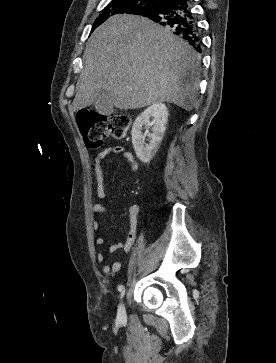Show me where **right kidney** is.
<instances>
[{
  "label": "right kidney",
  "mask_w": 276,
  "mask_h": 363,
  "mask_svg": "<svg viewBox=\"0 0 276 363\" xmlns=\"http://www.w3.org/2000/svg\"><path fill=\"white\" fill-rule=\"evenodd\" d=\"M150 118H153L150 122ZM168 118V110L165 104L156 103L145 109L135 120L132 127V144L137 157L143 163H149L157 152L163 139ZM152 133L142 134L143 126H151ZM148 134L150 142L144 145V138Z\"/></svg>",
  "instance_id": "obj_1"
}]
</instances>
